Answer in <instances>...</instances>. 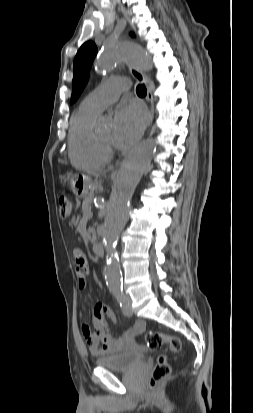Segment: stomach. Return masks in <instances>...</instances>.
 Segmentation results:
<instances>
[{
	"label": "stomach",
	"mask_w": 253,
	"mask_h": 413,
	"mask_svg": "<svg viewBox=\"0 0 253 413\" xmlns=\"http://www.w3.org/2000/svg\"><path fill=\"white\" fill-rule=\"evenodd\" d=\"M69 187L77 197H86L91 188V179L85 174H75L70 178Z\"/></svg>",
	"instance_id": "stomach-1"
}]
</instances>
